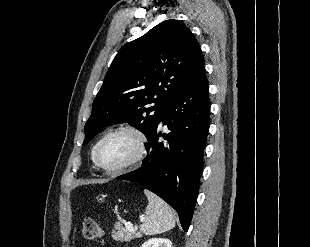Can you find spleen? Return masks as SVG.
Segmentation results:
<instances>
[{
    "label": "spleen",
    "mask_w": 310,
    "mask_h": 247,
    "mask_svg": "<svg viewBox=\"0 0 310 247\" xmlns=\"http://www.w3.org/2000/svg\"><path fill=\"white\" fill-rule=\"evenodd\" d=\"M144 193L148 198V205L145 217L142 219L140 232L152 236L174 228L175 217L169 205L148 190H144Z\"/></svg>",
    "instance_id": "1"
}]
</instances>
